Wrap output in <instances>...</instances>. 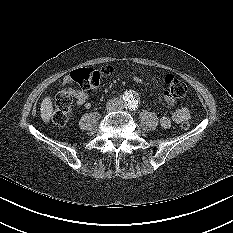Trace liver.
<instances>
[{"instance_id":"obj_1","label":"liver","mask_w":233,"mask_h":233,"mask_svg":"<svg viewBox=\"0 0 233 233\" xmlns=\"http://www.w3.org/2000/svg\"><path fill=\"white\" fill-rule=\"evenodd\" d=\"M41 118L45 123H48L53 116V104L49 96L45 97L40 108Z\"/></svg>"}]
</instances>
